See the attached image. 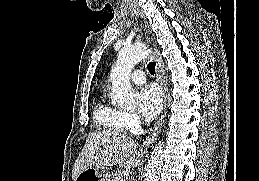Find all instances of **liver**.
Returning <instances> with one entry per match:
<instances>
[{
  "mask_svg": "<svg viewBox=\"0 0 259 181\" xmlns=\"http://www.w3.org/2000/svg\"><path fill=\"white\" fill-rule=\"evenodd\" d=\"M133 138L118 131L103 130L90 134L72 170V179L92 166L108 167L119 165L130 170L142 160Z\"/></svg>",
  "mask_w": 259,
  "mask_h": 181,
  "instance_id": "obj_1",
  "label": "liver"
}]
</instances>
